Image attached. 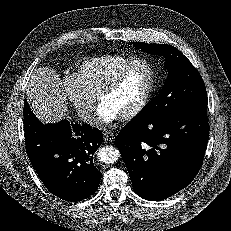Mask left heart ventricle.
Masks as SVG:
<instances>
[{
  "instance_id": "b2bd125f",
  "label": "left heart ventricle",
  "mask_w": 231,
  "mask_h": 231,
  "mask_svg": "<svg viewBox=\"0 0 231 231\" xmlns=\"http://www.w3.org/2000/svg\"><path fill=\"white\" fill-rule=\"evenodd\" d=\"M150 83V71L145 65L132 68L115 90L104 96L107 104L119 117L129 112L144 96Z\"/></svg>"
}]
</instances>
